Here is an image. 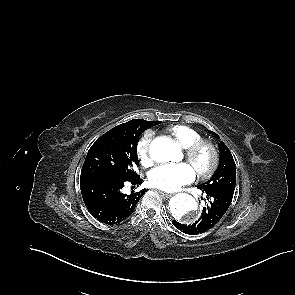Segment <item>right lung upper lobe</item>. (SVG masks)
I'll use <instances>...</instances> for the list:
<instances>
[{
	"label": "right lung upper lobe",
	"instance_id": "right-lung-upper-lobe-1",
	"mask_svg": "<svg viewBox=\"0 0 295 295\" xmlns=\"http://www.w3.org/2000/svg\"><path fill=\"white\" fill-rule=\"evenodd\" d=\"M136 120H138V119L130 120L129 122H126V123L120 124V125H118V126H116V127H124V126H127V125H129V124L135 122Z\"/></svg>",
	"mask_w": 295,
	"mask_h": 295
}]
</instances>
